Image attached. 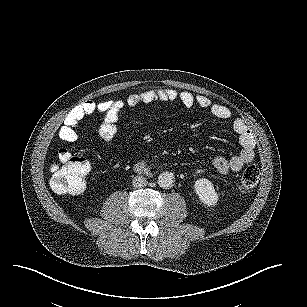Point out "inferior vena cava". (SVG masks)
I'll use <instances>...</instances> for the list:
<instances>
[{"instance_id":"602c4592","label":"inferior vena cava","mask_w":307,"mask_h":307,"mask_svg":"<svg viewBox=\"0 0 307 307\" xmlns=\"http://www.w3.org/2000/svg\"><path fill=\"white\" fill-rule=\"evenodd\" d=\"M131 182L132 186L135 188H144L148 184L147 179L142 175L134 176Z\"/></svg>"}]
</instances>
